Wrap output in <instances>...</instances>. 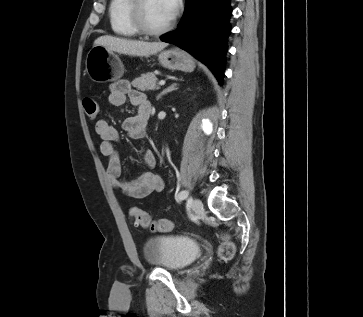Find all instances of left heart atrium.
<instances>
[{"instance_id":"1","label":"left heart atrium","mask_w":363,"mask_h":317,"mask_svg":"<svg viewBox=\"0 0 363 317\" xmlns=\"http://www.w3.org/2000/svg\"><path fill=\"white\" fill-rule=\"evenodd\" d=\"M167 7H168V11H169V15L170 18L174 17L178 6H179V0H165Z\"/></svg>"}]
</instances>
